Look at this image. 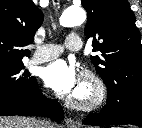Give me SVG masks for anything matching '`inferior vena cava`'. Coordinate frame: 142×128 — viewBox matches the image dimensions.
Masks as SVG:
<instances>
[{"instance_id":"inferior-vena-cava-1","label":"inferior vena cava","mask_w":142,"mask_h":128,"mask_svg":"<svg viewBox=\"0 0 142 128\" xmlns=\"http://www.w3.org/2000/svg\"><path fill=\"white\" fill-rule=\"evenodd\" d=\"M37 128H53L47 120H38Z\"/></svg>"}]
</instances>
